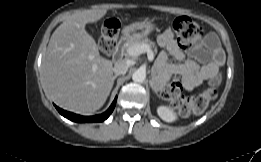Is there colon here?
<instances>
[{
    "label": "colon",
    "instance_id": "obj_1",
    "mask_svg": "<svg viewBox=\"0 0 261 162\" xmlns=\"http://www.w3.org/2000/svg\"><path fill=\"white\" fill-rule=\"evenodd\" d=\"M173 29L180 43L198 39L202 35L201 26L188 17H178L173 22ZM119 23L115 18H109L101 27L99 41L100 49L103 53L109 54L116 45ZM216 96L213 86L207 88L203 93L186 98L182 94V84L179 79L173 78L162 92V97L172 102L182 114L190 112L199 114L206 110L208 103Z\"/></svg>",
    "mask_w": 261,
    "mask_h": 162
}]
</instances>
